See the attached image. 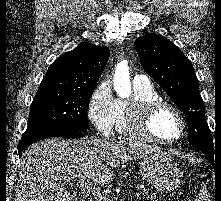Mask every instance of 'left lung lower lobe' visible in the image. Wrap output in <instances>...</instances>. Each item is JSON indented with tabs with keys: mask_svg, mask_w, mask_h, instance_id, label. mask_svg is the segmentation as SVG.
<instances>
[{
	"mask_svg": "<svg viewBox=\"0 0 221 201\" xmlns=\"http://www.w3.org/2000/svg\"><path fill=\"white\" fill-rule=\"evenodd\" d=\"M204 153L206 154V159L214 166V153H207V152Z\"/></svg>",
	"mask_w": 221,
	"mask_h": 201,
	"instance_id": "left-lung-lower-lobe-1",
	"label": "left lung lower lobe"
}]
</instances>
